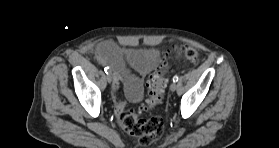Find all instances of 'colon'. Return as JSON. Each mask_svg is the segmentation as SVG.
<instances>
[{"instance_id": "5ec220e1", "label": "colon", "mask_w": 279, "mask_h": 148, "mask_svg": "<svg viewBox=\"0 0 279 148\" xmlns=\"http://www.w3.org/2000/svg\"><path fill=\"white\" fill-rule=\"evenodd\" d=\"M182 56L192 64L199 61L198 52L191 47H175ZM167 62L159 69L154 70L147 80V98L145 104L138 110L122 112L118 118L122 129L136 138L139 146H148L159 140L164 132V121L161 117L152 116L145 118L143 112L154 109L161 103L166 87Z\"/></svg>"}]
</instances>
